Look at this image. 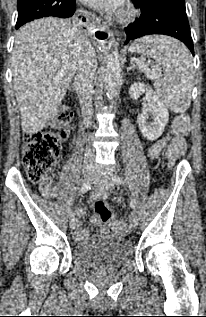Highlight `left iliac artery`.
Returning <instances> with one entry per match:
<instances>
[{"instance_id":"left-iliac-artery-1","label":"left iliac artery","mask_w":206,"mask_h":317,"mask_svg":"<svg viewBox=\"0 0 206 317\" xmlns=\"http://www.w3.org/2000/svg\"><path fill=\"white\" fill-rule=\"evenodd\" d=\"M111 178H112L113 182L116 183V184H121L122 183L121 177L116 175V174H113L111 176ZM130 206H131L132 209H135V207H136L135 199H133V198L130 199Z\"/></svg>"}]
</instances>
